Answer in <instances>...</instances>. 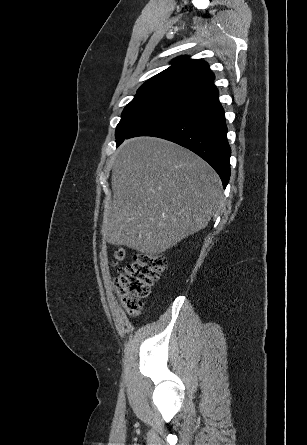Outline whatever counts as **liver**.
Returning <instances> with one entry per match:
<instances>
[{
  "instance_id": "liver-1",
  "label": "liver",
  "mask_w": 307,
  "mask_h": 445,
  "mask_svg": "<svg viewBox=\"0 0 307 445\" xmlns=\"http://www.w3.org/2000/svg\"><path fill=\"white\" fill-rule=\"evenodd\" d=\"M111 180L104 237L145 257L205 229L222 198L221 180L208 162L155 136L126 140L117 150Z\"/></svg>"
}]
</instances>
